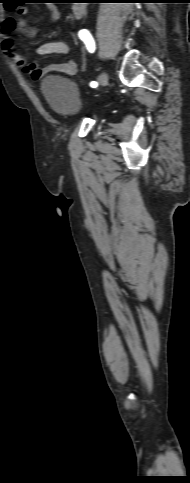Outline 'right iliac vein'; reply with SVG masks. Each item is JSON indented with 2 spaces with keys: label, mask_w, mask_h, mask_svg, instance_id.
Here are the masks:
<instances>
[{
  "label": "right iliac vein",
  "mask_w": 190,
  "mask_h": 483,
  "mask_svg": "<svg viewBox=\"0 0 190 483\" xmlns=\"http://www.w3.org/2000/svg\"><path fill=\"white\" fill-rule=\"evenodd\" d=\"M98 82L101 86H104L107 83V75L106 73H101L98 77Z\"/></svg>",
  "instance_id": "63e3f726"
}]
</instances>
